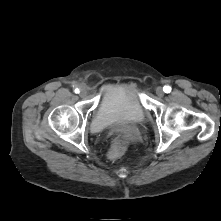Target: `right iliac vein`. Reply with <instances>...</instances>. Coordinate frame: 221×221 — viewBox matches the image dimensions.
<instances>
[{
	"mask_svg": "<svg viewBox=\"0 0 221 221\" xmlns=\"http://www.w3.org/2000/svg\"><path fill=\"white\" fill-rule=\"evenodd\" d=\"M87 94H88V93H87V91H86L85 89H81V91H80V93H79L80 97H82V98L86 97Z\"/></svg>",
	"mask_w": 221,
	"mask_h": 221,
	"instance_id": "obj_1",
	"label": "right iliac vein"
}]
</instances>
